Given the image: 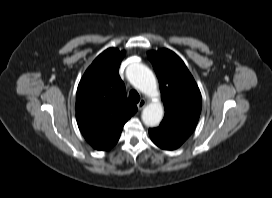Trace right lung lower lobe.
I'll return each instance as SVG.
<instances>
[{
    "label": "right lung lower lobe",
    "mask_w": 272,
    "mask_h": 198,
    "mask_svg": "<svg viewBox=\"0 0 272 198\" xmlns=\"http://www.w3.org/2000/svg\"><path fill=\"white\" fill-rule=\"evenodd\" d=\"M118 139H119V137L108 148H106L105 150L113 147L117 143Z\"/></svg>",
    "instance_id": "1"
}]
</instances>
